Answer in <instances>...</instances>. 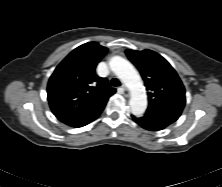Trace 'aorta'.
Returning <instances> with one entry per match:
<instances>
[{
	"label": "aorta",
	"instance_id": "aorta-1",
	"mask_svg": "<svg viewBox=\"0 0 222 187\" xmlns=\"http://www.w3.org/2000/svg\"><path fill=\"white\" fill-rule=\"evenodd\" d=\"M109 66L130 90L129 105L132 114L141 116L147 108V95L140 75L129 61L120 56L112 57Z\"/></svg>",
	"mask_w": 222,
	"mask_h": 187
}]
</instances>
